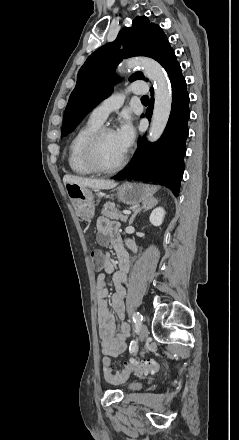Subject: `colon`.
I'll return each mask as SVG.
<instances>
[{"mask_svg": "<svg viewBox=\"0 0 239 440\" xmlns=\"http://www.w3.org/2000/svg\"><path fill=\"white\" fill-rule=\"evenodd\" d=\"M91 260L93 268L97 271L101 270L103 267V256L102 253L98 250H94L91 253ZM157 369V364L154 361L146 360V361H138L131 360L125 364L124 369L119 373L112 372L111 359L109 357H105L103 359V373L106 379L112 382H121L126 380L131 374H147L150 372H154Z\"/></svg>", "mask_w": 239, "mask_h": 440, "instance_id": "colon-1", "label": "colon"}]
</instances>
